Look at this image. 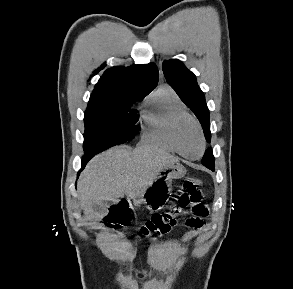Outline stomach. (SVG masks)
Wrapping results in <instances>:
<instances>
[{
  "instance_id": "0dacf381",
  "label": "stomach",
  "mask_w": 293,
  "mask_h": 289,
  "mask_svg": "<svg viewBox=\"0 0 293 289\" xmlns=\"http://www.w3.org/2000/svg\"><path fill=\"white\" fill-rule=\"evenodd\" d=\"M186 174V169L179 163L165 166L155 180L147 187L138 198L133 199V204H144L151 211L161 210L170 198L172 180L180 179Z\"/></svg>"
}]
</instances>
